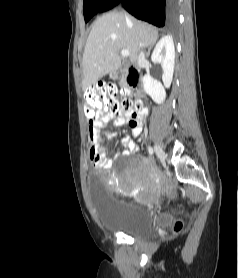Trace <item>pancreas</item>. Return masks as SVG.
<instances>
[{
	"label": "pancreas",
	"instance_id": "obj_1",
	"mask_svg": "<svg viewBox=\"0 0 238 278\" xmlns=\"http://www.w3.org/2000/svg\"><path fill=\"white\" fill-rule=\"evenodd\" d=\"M121 85H122V86H125V85H126V82H125V81H122V82H121Z\"/></svg>",
	"mask_w": 238,
	"mask_h": 278
}]
</instances>
